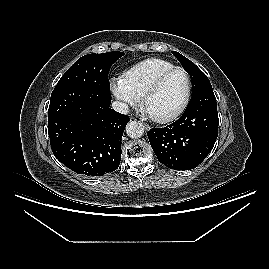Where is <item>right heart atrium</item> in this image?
I'll use <instances>...</instances> for the list:
<instances>
[{
    "instance_id": "d8ad5b80",
    "label": "right heart atrium",
    "mask_w": 269,
    "mask_h": 269,
    "mask_svg": "<svg viewBox=\"0 0 269 269\" xmlns=\"http://www.w3.org/2000/svg\"><path fill=\"white\" fill-rule=\"evenodd\" d=\"M110 90L114 97L120 102L122 108L134 106L139 101V96L136 95L126 84L124 78H113L110 82Z\"/></svg>"
}]
</instances>
